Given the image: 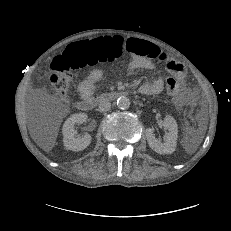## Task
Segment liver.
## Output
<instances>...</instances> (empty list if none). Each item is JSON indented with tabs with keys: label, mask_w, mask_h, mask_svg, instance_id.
<instances>
[{
	"label": "liver",
	"mask_w": 231,
	"mask_h": 231,
	"mask_svg": "<svg viewBox=\"0 0 231 231\" xmlns=\"http://www.w3.org/2000/svg\"><path fill=\"white\" fill-rule=\"evenodd\" d=\"M39 146L44 149V150H51L52 147H53V142H50V143H44V142H38Z\"/></svg>",
	"instance_id": "liver-1"
}]
</instances>
